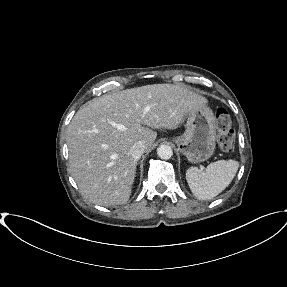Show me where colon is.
I'll use <instances>...</instances> for the list:
<instances>
[{
  "instance_id": "1",
  "label": "colon",
  "mask_w": 287,
  "mask_h": 287,
  "mask_svg": "<svg viewBox=\"0 0 287 287\" xmlns=\"http://www.w3.org/2000/svg\"><path fill=\"white\" fill-rule=\"evenodd\" d=\"M217 122V142L221 150L229 152L233 149L235 143L232 119L225 109H219L216 113Z\"/></svg>"
}]
</instances>
